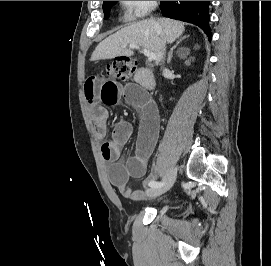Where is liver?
Masks as SVG:
<instances>
[{
    "label": "liver",
    "instance_id": "1",
    "mask_svg": "<svg viewBox=\"0 0 271 266\" xmlns=\"http://www.w3.org/2000/svg\"><path fill=\"white\" fill-rule=\"evenodd\" d=\"M185 31L184 24L170 18H149L127 26L99 43L91 56V61L132 56L127 48L136 44L156 54V63L163 58L162 42L172 43Z\"/></svg>",
    "mask_w": 271,
    "mask_h": 266
}]
</instances>
